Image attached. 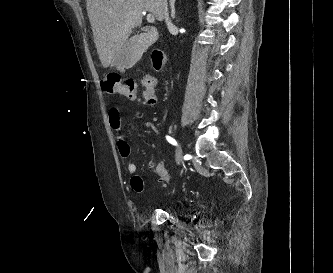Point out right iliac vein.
<instances>
[{"label":"right iliac vein","instance_id":"obj_1","mask_svg":"<svg viewBox=\"0 0 333 273\" xmlns=\"http://www.w3.org/2000/svg\"><path fill=\"white\" fill-rule=\"evenodd\" d=\"M182 158H183V150H182L181 145H179V147L176 151V162L178 165L181 164Z\"/></svg>","mask_w":333,"mask_h":273}]
</instances>
